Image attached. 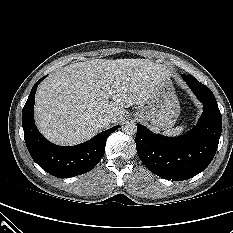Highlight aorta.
Wrapping results in <instances>:
<instances>
[{
	"label": "aorta",
	"mask_w": 233,
	"mask_h": 233,
	"mask_svg": "<svg viewBox=\"0 0 233 233\" xmlns=\"http://www.w3.org/2000/svg\"><path fill=\"white\" fill-rule=\"evenodd\" d=\"M121 128H122L123 133H125L127 135H133L137 131L136 123H134L132 121H126V122H124L122 124Z\"/></svg>",
	"instance_id": "obj_1"
}]
</instances>
